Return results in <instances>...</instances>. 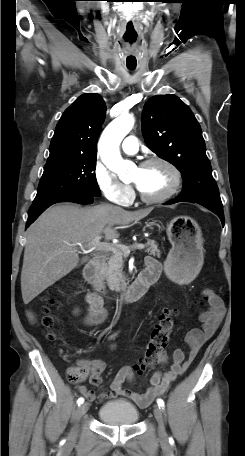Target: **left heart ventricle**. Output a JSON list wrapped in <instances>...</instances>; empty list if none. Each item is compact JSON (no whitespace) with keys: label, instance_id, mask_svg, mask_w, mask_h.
I'll return each instance as SVG.
<instances>
[{"label":"left heart ventricle","instance_id":"b2bd125f","mask_svg":"<svg viewBox=\"0 0 245 456\" xmlns=\"http://www.w3.org/2000/svg\"><path fill=\"white\" fill-rule=\"evenodd\" d=\"M131 181L147 196H159L172 186L173 175L163 164H152L136 168Z\"/></svg>","mask_w":245,"mask_h":456}]
</instances>
